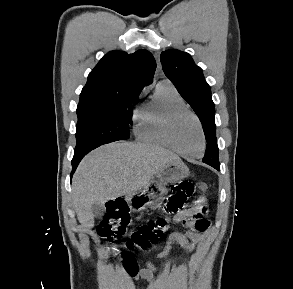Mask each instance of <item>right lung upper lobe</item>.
Segmentation results:
<instances>
[{"label": "right lung upper lobe", "instance_id": "cb5924a9", "mask_svg": "<svg viewBox=\"0 0 293 289\" xmlns=\"http://www.w3.org/2000/svg\"><path fill=\"white\" fill-rule=\"evenodd\" d=\"M155 69V59L146 50L111 51L90 72L79 103L138 96L152 82Z\"/></svg>", "mask_w": 293, "mask_h": 289}]
</instances>
